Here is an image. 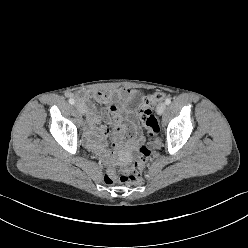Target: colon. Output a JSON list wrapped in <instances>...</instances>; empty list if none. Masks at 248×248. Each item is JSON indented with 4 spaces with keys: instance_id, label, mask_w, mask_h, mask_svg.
I'll return each instance as SVG.
<instances>
[{
    "instance_id": "colon-1",
    "label": "colon",
    "mask_w": 248,
    "mask_h": 248,
    "mask_svg": "<svg viewBox=\"0 0 248 248\" xmlns=\"http://www.w3.org/2000/svg\"><path fill=\"white\" fill-rule=\"evenodd\" d=\"M164 98V93L156 92L152 95L144 97L140 105V119L151 137H155L159 132V125L155 116L152 113V109L157 103L162 101ZM151 153L152 147L150 144L142 146L139 151V156L129 169H126L122 172L109 170L104 175V182L106 184H113L116 182H122L126 184L139 183L141 180L143 170L148 160L150 159Z\"/></svg>"
}]
</instances>
